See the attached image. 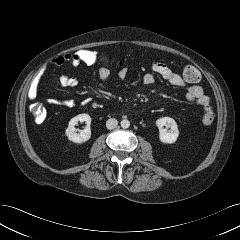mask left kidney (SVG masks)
Segmentation results:
<instances>
[{
  "instance_id": "5707ae66",
  "label": "left kidney",
  "mask_w": 240,
  "mask_h": 240,
  "mask_svg": "<svg viewBox=\"0 0 240 240\" xmlns=\"http://www.w3.org/2000/svg\"><path fill=\"white\" fill-rule=\"evenodd\" d=\"M156 125L159 129V139L162 143L172 144L175 143L178 136L179 130L176 121L170 117H162L156 121ZM164 126L166 128H164ZM168 128H170L168 130Z\"/></svg>"
}]
</instances>
